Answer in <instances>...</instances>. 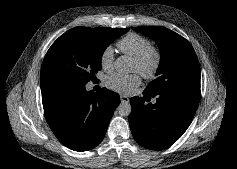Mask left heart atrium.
I'll use <instances>...</instances> for the list:
<instances>
[{
    "label": "left heart atrium",
    "instance_id": "1",
    "mask_svg": "<svg viewBox=\"0 0 237 169\" xmlns=\"http://www.w3.org/2000/svg\"><path fill=\"white\" fill-rule=\"evenodd\" d=\"M140 84V76L137 73H115L108 77L107 86L114 91L129 93Z\"/></svg>",
    "mask_w": 237,
    "mask_h": 169
}]
</instances>
